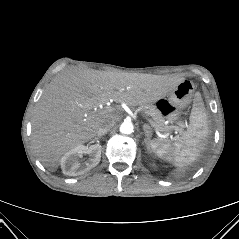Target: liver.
Wrapping results in <instances>:
<instances>
[{
    "mask_svg": "<svg viewBox=\"0 0 239 239\" xmlns=\"http://www.w3.org/2000/svg\"><path fill=\"white\" fill-rule=\"evenodd\" d=\"M183 78L69 69L57 75L37 103L32 142L40 162L54 172L69 150L94 138L101 124L115 123L108 103L139 106L156 102Z\"/></svg>",
    "mask_w": 239,
    "mask_h": 239,
    "instance_id": "1",
    "label": "liver"
}]
</instances>
